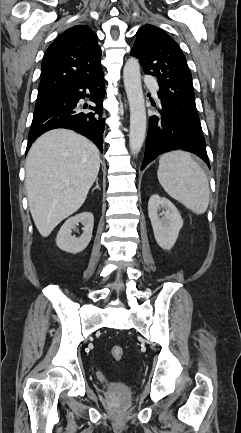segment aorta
Here are the masks:
<instances>
[{"instance_id":"1","label":"aorta","mask_w":241,"mask_h":433,"mask_svg":"<svg viewBox=\"0 0 241 433\" xmlns=\"http://www.w3.org/2000/svg\"><path fill=\"white\" fill-rule=\"evenodd\" d=\"M124 86L130 106L129 147L132 155L140 152L146 134V109L140 65L137 59L126 61L123 70Z\"/></svg>"}]
</instances>
